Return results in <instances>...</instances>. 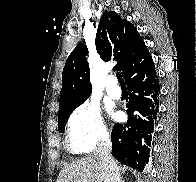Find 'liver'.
<instances>
[{
  "label": "liver",
  "mask_w": 196,
  "mask_h": 182,
  "mask_svg": "<svg viewBox=\"0 0 196 182\" xmlns=\"http://www.w3.org/2000/svg\"><path fill=\"white\" fill-rule=\"evenodd\" d=\"M56 182H104L99 159L89 156L65 165Z\"/></svg>",
  "instance_id": "1"
}]
</instances>
